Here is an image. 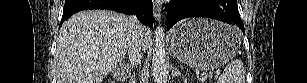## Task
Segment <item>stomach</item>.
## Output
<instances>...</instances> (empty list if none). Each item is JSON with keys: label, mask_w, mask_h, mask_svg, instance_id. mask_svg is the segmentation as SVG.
Returning <instances> with one entry per match:
<instances>
[{"label": "stomach", "mask_w": 307, "mask_h": 83, "mask_svg": "<svg viewBox=\"0 0 307 83\" xmlns=\"http://www.w3.org/2000/svg\"><path fill=\"white\" fill-rule=\"evenodd\" d=\"M240 45L241 34L236 27L205 18L188 20L170 34L172 53L200 70L223 66L237 54Z\"/></svg>", "instance_id": "0dacf381"}]
</instances>
